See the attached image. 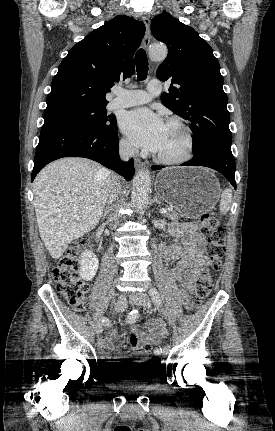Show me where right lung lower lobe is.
<instances>
[{
  "mask_svg": "<svg viewBox=\"0 0 275 431\" xmlns=\"http://www.w3.org/2000/svg\"><path fill=\"white\" fill-rule=\"evenodd\" d=\"M62 157H85L101 163L130 181L133 160L122 162L116 124L112 129L88 128L71 122L44 123L37 146L32 181L48 163Z\"/></svg>",
  "mask_w": 275,
  "mask_h": 431,
  "instance_id": "98d812e1",
  "label": "right lung lower lobe"
}]
</instances>
